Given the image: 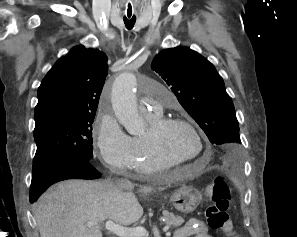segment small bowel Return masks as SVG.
I'll return each mask as SVG.
<instances>
[{
  "label": "small bowel",
  "mask_w": 297,
  "mask_h": 237,
  "mask_svg": "<svg viewBox=\"0 0 297 237\" xmlns=\"http://www.w3.org/2000/svg\"><path fill=\"white\" fill-rule=\"evenodd\" d=\"M212 237L205 223L199 219H190L183 227L179 228L174 237Z\"/></svg>",
  "instance_id": "small-bowel-1"
}]
</instances>
